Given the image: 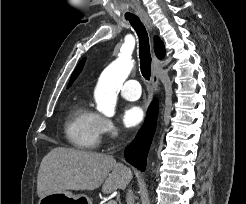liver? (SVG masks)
<instances>
[{"instance_id":"6515ba94","label":"liver","mask_w":246,"mask_h":204,"mask_svg":"<svg viewBox=\"0 0 246 204\" xmlns=\"http://www.w3.org/2000/svg\"><path fill=\"white\" fill-rule=\"evenodd\" d=\"M132 172L114 157L89 151L57 147L41 161L37 177L40 198L66 190H94L103 193L125 189Z\"/></svg>"}]
</instances>
